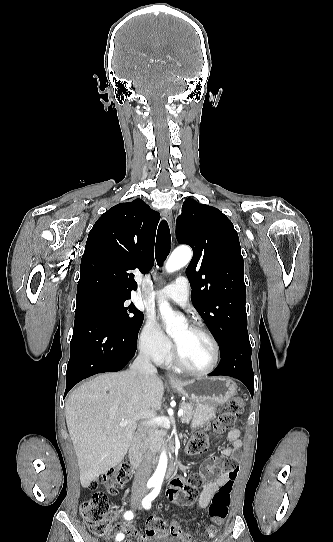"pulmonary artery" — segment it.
I'll return each instance as SVG.
<instances>
[{
    "instance_id": "1",
    "label": "pulmonary artery",
    "mask_w": 333,
    "mask_h": 542,
    "mask_svg": "<svg viewBox=\"0 0 333 542\" xmlns=\"http://www.w3.org/2000/svg\"><path fill=\"white\" fill-rule=\"evenodd\" d=\"M169 283L164 287V295L157 294L156 299H166L168 301L174 302L181 306L182 308H188L189 306V291L188 283L186 279H183L182 275L176 276V285ZM160 290H157L159 292ZM185 291V292H183ZM187 291V292H186Z\"/></svg>"
}]
</instances>
